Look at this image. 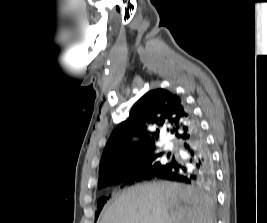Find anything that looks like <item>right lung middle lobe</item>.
Masks as SVG:
<instances>
[{"instance_id":"dd1d6c3e","label":"right lung middle lobe","mask_w":267,"mask_h":223,"mask_svg":"<svg viewBox=\"0 0 267 223\" xmlns=\"http://www.w3.org/2000/svg\"><path fill=\"white\" fill-rule=\"evenodd\" d=\"M166 159V161H165ZM176 161V157L172 152H154L148 156L141 157L135 161L131 166L134 168L132 174L125 173V168H116L110 170L101 179H99V187L108 186L118 178H134L136 180H143L154 177L161 170L171 165ZM107 198L103 197L98 200V210L95 213V218L98 217Z\"/></svg>"}]
</instances>
